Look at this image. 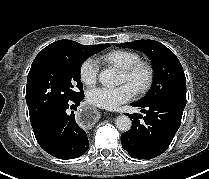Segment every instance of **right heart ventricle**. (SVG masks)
Segmentation results:
<instances>
[{
    "label": "right heart ventricle",
    "instance_id": "e07e8e85",
    "mask_svg": "<svg viewBox=\"0 0 209 179\" xmlns=\"http://www.w3.org/2000/svg\"><path fill=\"white\" fill-rule=\"evenodd\" d=\"M99 60L107 65L123 70L139 61L140 56L138 53L130 50L116 49L103 54L99 57Z\"/></svg>",
    "mask_w": 209,
    "mask_h": 179
}]
</instances>
